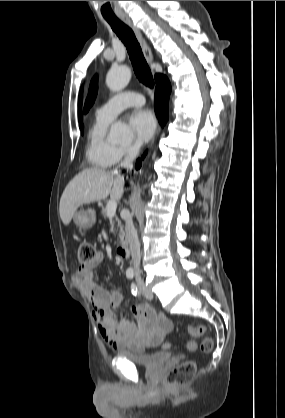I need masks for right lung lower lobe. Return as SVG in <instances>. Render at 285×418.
<instances>
[{
  "label": "right lung lower lobe",
  "mask_w": 285,
  "mask_h": 418,
  "mask_svg": "<svg viewBox=\"0 0 285 418\" xmlns=\"http://www.w3.org/2000/svg\"><path fill=\"white\" fill-rule=\"evenodd\" d=\"M171 93V84L168 78L164 75L159 74L156 79L155 89V105L156 115L162 126H164L168 120V100ZM146 152L142 156L145 157ZM141 167V159L137 160L136 169Z\"/></svg>",
  "instance_id": "obj_1"
}]
</instances>
